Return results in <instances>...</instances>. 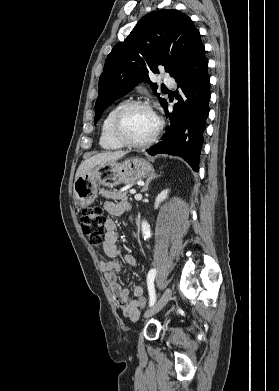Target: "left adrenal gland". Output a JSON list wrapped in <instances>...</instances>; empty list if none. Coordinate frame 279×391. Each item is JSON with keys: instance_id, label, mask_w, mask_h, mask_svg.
<instances>
[{"instance_id": "left-adrenal-gland-1", "label": "left adrenal gland", "mask_w": 279, "mask_h": 391, "mask_svg": "<svg viewBox=\"0 0 279 391\" xmlns=\"http://www.w3.org/2000/svg\"><path fill=\"white\" fill-rule=\"evenodd\" d=\"M157 177H158V175H156L155 173H152L151 176L146 180L145 186L143 187V189L141 190V192L147 191L150 182H151L153 179L157 178Z\"/></svg>"}]
</instances>
